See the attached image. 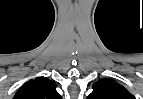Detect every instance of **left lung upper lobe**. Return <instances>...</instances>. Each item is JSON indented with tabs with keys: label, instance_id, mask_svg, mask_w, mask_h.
Masks as SVG:
<instances>
[{
	"label": "left lung upper lobe",
	"instance_id": "left-lung-upper-lobe-1",
	"mask_svg": "<svg viewBox=\"0 0 143 99\" xmlns=\"http://www.w3.org/2000/svg\"><path fill=\"white\" fill-rule=\"evenodd\" d=\"M92 88L87 99H135L124 86L111 79H101Z\"/></svg>",
	"mask_w": 143,
	"mask_h": 99
}]
</instances>
